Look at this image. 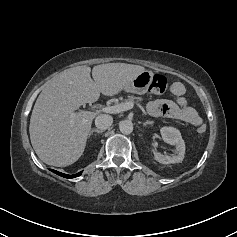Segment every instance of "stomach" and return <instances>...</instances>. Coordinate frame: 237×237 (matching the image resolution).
Listing matches in <instances>:
<instances>
[{
	"instance_id": "0dacf381",
	"label": "stomach",
	"mask_w": 237,
	"mask_h": 237,
	"mask_svg": "<svg viewBox=\"0 0 237 237\" xmlns=\"http://www.w3.org/2000/svg\"><path fill=\"white\" fill-rule=\"evenodd\" d=\"M153 73L151 71H143L138 74L129 84L124 87L126 92L135 94H145L152 82Z\"/></svg>"
}]
</instances>
